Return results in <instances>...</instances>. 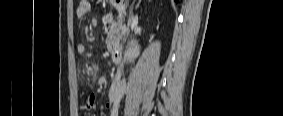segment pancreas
Wrapping results in <instances>:
<instances>
[{
  "mask_svg": "<svg viewBox=\"0 0 283 116\" xmlns=\"http://www.w3.org/2000/svg\"><path fill=\"white\" fill-rule=\"evenodd\" d=\"M107 23L111 26L106 38V45L109 51H113L119 41L126 36L129 32L128 27H126L121 20L109 19Z\"/></svg>",
  "mask_w": 283,
  "mask_h": 116,
  "instance_id": "pancreas-1",
  "label": "pancreas"
}]
</instances>
